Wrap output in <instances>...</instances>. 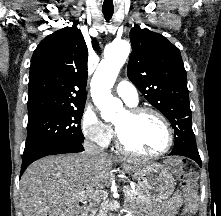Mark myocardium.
Here are the masks:
<instances>
[{
	"label": "myocardium",
	"mask_w": 221,
	"mask_h": 216,
	"mask_svg": "<svg viewBox=\"0 0 221 216\" xmlns=\"http://www.w3.org/2000/svg\"><path fill=\"white\" fill-rule=\"evenodd\" d=\"M127 112L132 117H135V118L140 117L145 114H151V115H154L155 117H157L163 123V125L166 129L167 142H166L165 147L158 152H153V153L140 152L136 149H133L129 145H127L123 141L118 129L115 127L116 145L120 151L127 153L129 155L143 157V158H157L162 155H165L166 153H168L170 151V149L172 148L173 143H174V132H173V129H172V126H171L169 120L166 118V116L164 114H162L157 109L152 108V107H148V106L133 107V108L129 109Z\"/></svg>",
	"instance_id": "f54148a6"
}]
</instances>
